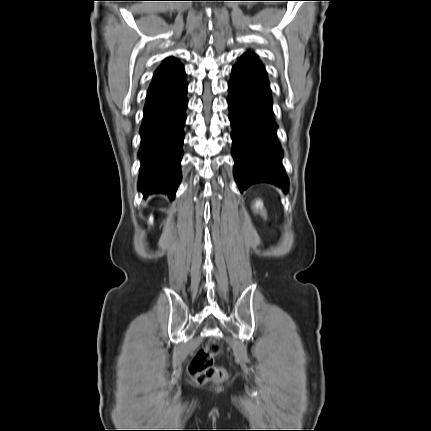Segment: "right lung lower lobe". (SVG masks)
I'll return each mask as SVG.
<instances>
[{"instance_id": "obj_1", "label": "right lung lower lobe", "mask_w": 431, "mask_h": 431, "mask_svg": "<svg viewBox=\"0 0 431 431\" xmlns=\"http://www.w3.org/2000/svg\"><path fill=\"white\" fill-rule=\"evenodd\" d=\"M186 92L184 76L164 90L147 96L139 150V190L145 197L153 193L175 197L181 180Z\"/></svg>"}]
</instances>
